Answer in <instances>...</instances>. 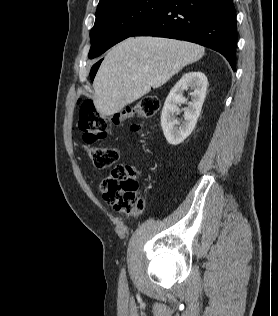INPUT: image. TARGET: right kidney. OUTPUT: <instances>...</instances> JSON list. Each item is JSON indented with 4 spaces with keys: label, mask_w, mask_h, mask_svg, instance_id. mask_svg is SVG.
<instances>
[{
    "label": "right kidney",
    "mask_w": 278,
    "mask_h": 316,
    "mask_svg": "<svg viewBox=\"0 0 278 316\" xmlns=\"http://www.w3.org/2000/svg\"><path fill=\"white\" fill-rule=\"evenodd\" d=\"M207 85L205 74L194 71L184 74L171 89L161 114V126L169 144L175 146L182 143L194 130L206 96ZM188 88L193 90L190 93L192 101L188 103V108L184 109V123L175 127V124H179L175 117L179 114L177 104L187 102L183 93Z\"/></svg>",
    "instance_id": "right-kidney-1"
}]
</instances>
